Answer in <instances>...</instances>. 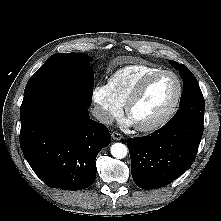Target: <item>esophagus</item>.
Returning <instances> with one entry per match:
<instances>
[{
  "instance_id": "34e87169",
  "label": "esophagus",
  "mask_w": 221,
  "mask_h": 221,
  "mask_svg": "<svg viewBox=\"0 0 221 221\" xmlns=\"http://www.w3.org/2000/svg\"><path fill=\"white\" fill-rule=\"evenodd\" d=\"M112 138L114 139V140H121L122 138H123V136H122V134H120V133H118V132H113L112 133Z\"/></svg>"
}]
</instances>
